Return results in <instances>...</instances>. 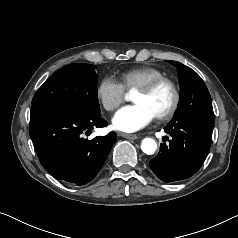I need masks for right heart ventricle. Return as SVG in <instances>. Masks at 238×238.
<instances>
[{"instance_id":"obj_1","label":"right heart ventricle","mask_w":238,"mask_h":238,"mask_svg":"<svg viewBox=\"0 0 238 238\" xmlns=\"http://www.w3.org/2000/svg\"><path fill=\"white\" fill-rule=\"evenodd\" d=\"M164 73L155 67L141 66L123 72L120 76V83L127 91L140 88L153 79L163 77Z\"/></svg>"}]
</instances>
